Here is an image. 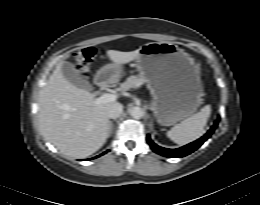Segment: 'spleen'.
Returning a JSON list of instances; mask_svg holds the SVG:
<instances>
[{"label": "spleen", "mask_w": 260, "mask_h": 205, "mask_svg": "<svg viewBox=\"0 0 260 205\" xmlns=\"http://www.w3.org/2000/svg\"><path fill=\"white\" fill-rule=\"evenodd\" d=\"M210 114L211 106H204L198 113L175 125L167 132V136L179 145H185L198 139L204 132V127L207 124Z\"/></svg>", "instance_id": "obj_1"}]
</instances>
